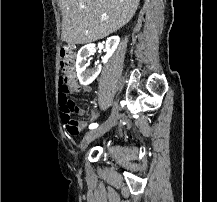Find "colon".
<instances>
[{
  "mask_svg": "<svg viewBox=\"0 0 217 202\" xmlns=\"http://www.w3.org/2000/svg\"><path fill=\"white\" fill-rule=\"evenodd\" d=\"M72 54V47H61L59 55H61L60 73L56 74L57 78H73L74 77V61L70 59ZM58 95L56 102H62L60 106V117H65L62 120V125H66L67 130L70 134L77 135L82 132V128L79 122L74 118V112L77 107L71 98V91H73V82H58Z\"/></svg>",
  "mask_w": 217,
  "mask_h": 202,
  "instance_id": "colon-1",
  "label": "colon"
}]
</instances>
